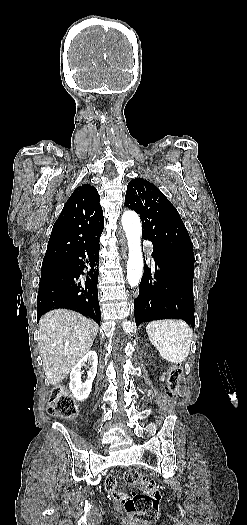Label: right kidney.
I'll return each instance as SVG.
<instances>
[{
  "instance_id": "ca27d5eb",
  "label": "right kidney",
  "mask_w": 247,
  "mask_h": 525,
  "mask_svg": "<svg viewBox=\"0 0 247 525\" xmlns=\"http://www.w3.org/2000/svg\"><path fill=\"white\" fill-rule=\"evenodd\" d=\"M89 367V371H87V379L86 381H82V375L84 371H82L83 367ZM97 365H98V357L97 353L95 351H89L75 367H73L71 373H70V383H69V389L73 393V397H75L76 401H86L88 399L91 389H92V383L96 377L97 373Z\"/></svg>"
}]
</instances>
